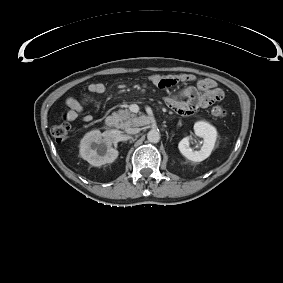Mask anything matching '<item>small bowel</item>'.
<instances>
[{
  "mask_svg": "<svg viewBox=\"0 0 283 283\" xmlns=\"http://www.w3.org/2000/svg\"><path fill=\"white\" fill-rule=\"evenodd\" d=\"M195 80L193 75L180 74L174 77L164 78L159 74H151L148 81L160 88H166L177 82H192ZM88 91L93 94H102L105 86L100 82H93L88 85ZM224 92L217 86V83L211 78H201L197 80L195 86H188L181 90L178 94L165 97V104L178 111L180 114L189 115L196 112L200 108H207L212 103L222 100ZM67 111L64 114L65 120L72 122L77 120L82 114L84 108L82 104L73 97L65 100ZM84 122H91L92 115L83 116Z\"/></svg>",
  "mask_w": 283,
  "mask_h": 283,
  "instance_id": "obj_1",
  "label": "small bowel"
}]
</instances>
